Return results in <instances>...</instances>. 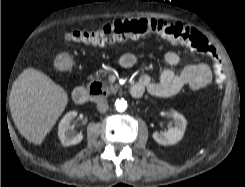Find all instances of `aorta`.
I'll use <instances>...</instances> for the list:
<instances>
[{"instance_id":"obj_1","label":"aorta","mask_w":245,"mask_h":187,"mask_svg":"<svg viewBox=\"0 0 245 187\" xmlns=\"http://www.w3.org/2000/svg\"><path fill=\"white\" fill-rule=\"evenodd\" d=\"M115 108L119 112H123L127 108V101L124 99H117L115 102Z\"/></svg>"}]
</instances>
